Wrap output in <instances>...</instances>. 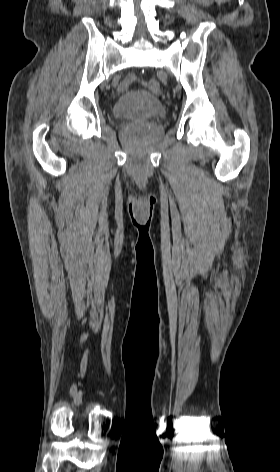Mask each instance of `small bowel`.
<instances>
[{
    "instance_id": "small-bowel-1",
    "label": "small bowel",
    "mask_w": 280,
    "mask_h": 472,
    "mask_svg": "<svg viewBox=\"0 0 280 472\" xmlns=\"http://www.w3.org/2000/svg\"><path fill=\"white\" fill-rule=\"evenodd\" d=\"M137 77L134 74H129L128 76L125 77V79L121 82L120 84V90L125 91L128 89V87L135 82Z\"/></svg>"
}]
</instances>
